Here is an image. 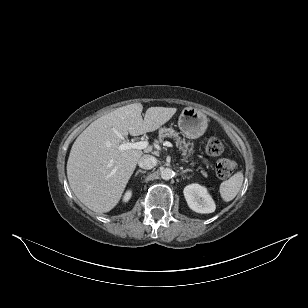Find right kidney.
I'll return each mask as SVG.
<instances>
[{"label":"right kidney","mask_w":308,"mask_h":308,"mask_svg":"<svg viewBox=\"0 0 308 308\" xmlns=\"http://www.w3.org/2000/svg\"><path fill=\"white\" fill-rule=\"evenodd\" d=\"M132 192L127 191L125 196H124V201L127 202L131 198Z\"/></svg>","instance_id":"ca27d5eb"}]
</instances>
